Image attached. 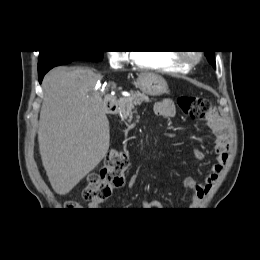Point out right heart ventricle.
Returning <instances> with one entry per match:
<instances>
[{"label": "right heart ventricle", "mask_w": 260, "mask_h": 260, "mask_svg": "<svg viewBox=\"0 0 260 260\" xmlns=\"http://www.w3.org/2000/svg\"><path fill=\"white\" fill-rule=\"evenodd\" d=\"M131 58L140 68L167 73H186L188 71L187 65L180 63L175 54L167 51H134Z\"/></svg>", "instance_id": "1"}]
</instances>
